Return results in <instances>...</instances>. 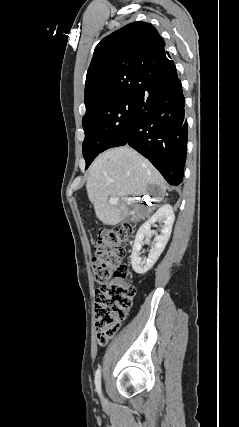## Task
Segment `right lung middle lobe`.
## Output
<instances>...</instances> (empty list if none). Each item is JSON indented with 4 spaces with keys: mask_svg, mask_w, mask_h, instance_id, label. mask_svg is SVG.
Masks as SVG:
<instances>
[{
    "mask_svg": "<svg viewBox=\"0 0 239 427\" xmlns=\"http://www.w3.org/2000/svg\"><path fill=\"white\" fill-rule=\"evenodd\" d=\"M136 100L137 97L110 99L86 109L82 120L86 169L99 153L122 145L127 140Z\"/></svg>",
    "mask_w": 239,
    "mask_h": 427,
    "instance_id": "dd1d6c3e",
    "label": "right lung middle lobe"
}]
</instances>
